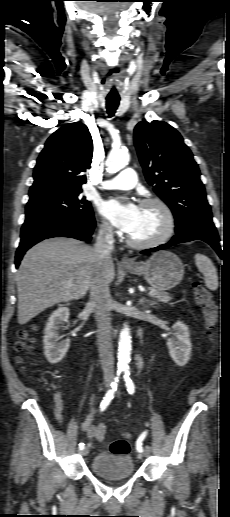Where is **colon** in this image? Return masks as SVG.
<instances>
[{
	"label": "colon",
	"mask_w": 230,
	"mask_h": 517,
	"mask_svg": "<svg viewBox=\"0 0 230 517\" xmlns=\"http://www.w3.org/2000/svg\"><path fill=\"white\" fill-rule=\"evenodd\" d=\"M193 292L197 304L202 310L208 336L212 339L214 330L218 322V309L208 290L199 281L193 282ZM31 343V337L28 330L18 331V341L15 343V349L18 352L27 350ZM18 361H22L18 358ZM110 451L117 455H127L130 452V443L126 438H120L110 444Z\"/></svg>",
	"instance_id": "obj_1"
}]
</instances>
